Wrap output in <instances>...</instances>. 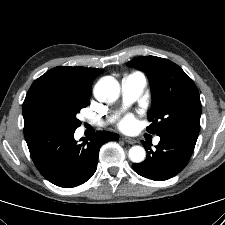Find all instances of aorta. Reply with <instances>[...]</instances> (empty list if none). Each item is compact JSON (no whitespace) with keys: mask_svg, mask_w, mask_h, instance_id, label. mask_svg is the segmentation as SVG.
I'll use <instances>...</instances> for the list:
<instances>
[{"mask_svg":"<svg viewBox=\"0 0 225 225\" xmlns=\"http://www.w3.org/2000/svg\"><path fill=\"white\" fill-rule=\"evenodd\" d=\"M94 94L100 102H114L120 94L119 82L111 77L101 78L94 88ZM146 157V151L141 146H133L129 150V158L134 163H141Z\"/></svg>","mask_w":225,"mask_h":225,"instance_id":"aorta-1","label":"aorta"}]
</instances>
